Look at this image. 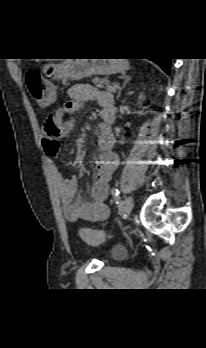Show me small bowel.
I'll list each match as a JSON object with an SVG mask.
<instances>
[{
  "instance_id": "c3829d8e",
  "label": "small bowel",
  "mask_w": 206,
  "mask_h": 348,
  "mask_svg": "<svg viewBox=\"0 0 206 348\" xmlns=\"http://www.w3.org/2000/svg\"><path fill=\"white\" fill-rule=\"evenodd\" d=\"M66 101L59 109L50 113L44 122L45 136L42 149L47 157V166L53 186L62 203L67 221L76 223L84 221H101L109 216V208L105 203L111 177L118 166V159L112 150H103L95 161V180L91 188V199L77 203L78 179L76 176L65 177L59 170L55 157L58 155L61 139L72 129L73 120L70 115L81 109L84 103L96 100L103 108L115 106L113 96L89 84L71 86ZM101 127V126H100Z\"/></svg>"
}]
</instances>
